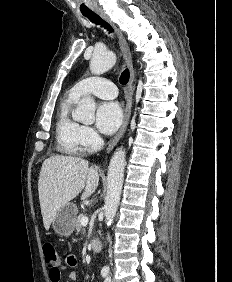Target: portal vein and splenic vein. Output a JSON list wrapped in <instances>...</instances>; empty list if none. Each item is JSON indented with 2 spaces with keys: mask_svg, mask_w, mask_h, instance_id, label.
I'll return each mask as SVG.
<instances>
[{
  "mask_svg": "<svg viewBox=\"0 0 232 282\" xmlns=\"http://www.w3.org/2000/svg\"><path fill=\"white\" fill-rule=\"evenodd\" d=\"M88 217L87 216H84V217H82V219H81V224H82V226H87V224H88Z\"/></svg>",
  "mask_w": 232,
  "mask_h": 282,
  "instance_id": "portal-vein-and-splenic-vein-1",
  "label": "portal vein and splenic vein"
}]
</instances>
